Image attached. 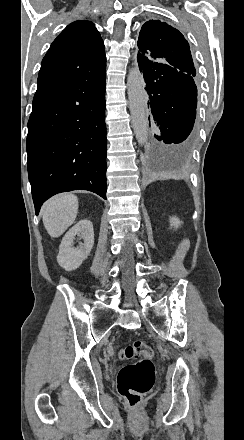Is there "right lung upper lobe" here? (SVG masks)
<instances>
[{"label": "right lung upper lobe", "mask_w": 244, "mask_h": 440, "mask_svg": "<svg viewBox=\"0 0 244 440\" xmlns=\"http://www.w3.org/2000/svg\"><path fill=\"white\" fill-rule=\"evenodd\" d=\"M106 64L104 43L88 20L68 25L51 44L42 60L38 83Z\"/></svg>", "instance_id": "obj_1"}]
</instances>
